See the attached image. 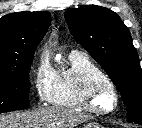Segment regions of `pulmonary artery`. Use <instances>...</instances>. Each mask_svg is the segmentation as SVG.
<instances>
[{"label":"pulmonary artery","mask_w":142,"mask_h":128,"mask_svg":"<svg viewBox=\"0 0 142 128\" xmlns=\"http://www.w3.org/2000/svg\"><path fill=\"white\" fill-rule=\"evenodd\" d=\"M70 54H84V52L78 51V50H72Z\"/></svg>","instance_id":"pulmonary-artery-1"}]
</instances>
